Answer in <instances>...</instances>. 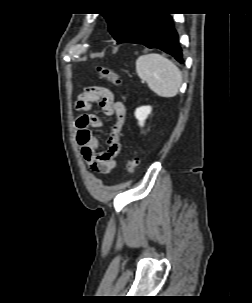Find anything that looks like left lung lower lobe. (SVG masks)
<instances>
[{
	"mask_svg": "<svg viewBox=\"0 0 252 303\" xmlns=\"http://www.w3.org/2000/svg\"><path fill=\"white\" fill-rule=\"evenodd\" d=\"M143 44L148 48H158L183 63V55L172 19L164 13H147L139 23L118 43Z\"/></svg>",
	"mask_w": 252,
	"mask_h": 303,
	"instance_id": "obj_1",
	"label": "left lung lower lobe"
}]
</instances>
